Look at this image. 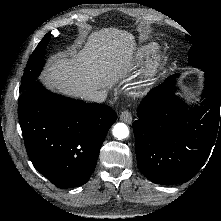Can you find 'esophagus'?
<instances>
[{"label":"esophagus","mask_w":221,"mask_h":221,"mask_svg":"<svg viewBox=\"0 0 221 221\" xmlns=\"http://www.w3.org/2000/svg\"><path fill=\"white\" fill-rule=\"evenodd\" d=\"M120 120L125 122V123L130 124L132 122V114H131V112L128 111V110L122 111L121 114H120Z\"/></svg>","instance_id":"34e87169"}]
</instances>
